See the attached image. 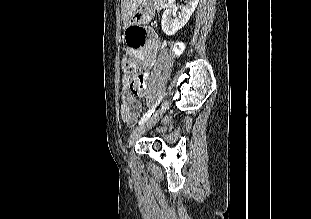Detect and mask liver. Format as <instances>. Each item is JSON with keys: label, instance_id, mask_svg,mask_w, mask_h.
<instances>
[{"label": "liver", "instance_id": "liver-1", "mask_svg": "<svg viewBox=\"0 0 311 219\" xmlns=\"http://www.w3.org/2000/svg\"><path fill=\"white\" fill-rule=\"evenodd\" d=\"M122 18L127 21L136 9V0H122Z\"/></svg>", "mask_w": 311, "mask_h": 219}]
</instances>
